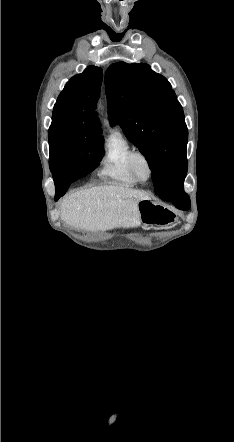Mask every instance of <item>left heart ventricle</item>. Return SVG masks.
<instances>
[{"label": "left heart ventricle", "mask_w": 234, "mask_h": 442, "mask_svg": "<svg viewBox=\"0 0 234 442\" xmlns=\"http://www.w3.org/2000/svg\"><path fill=\"white\" fill-rule=\"evenodd\" d=\"M135 169L140 178L146 179L149 175V168L147 162L142 157L135 159Z\"/></svg>", "instance_id": "1"}]
</instances>
